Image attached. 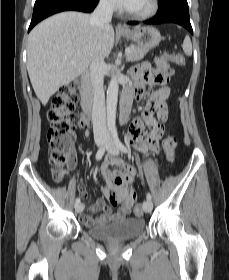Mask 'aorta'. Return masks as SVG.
Masks as SVG:
<instances>
[{"instance_id":"762f6f07","label":"aorta","mask_w":229,"mask_h":280,"mask_svg":"<svg viewBox=\"0 0 229 280\" xmlns=\"http://www.w3.org/2000/svg\"><path fill=\"white\" fill-rule=\"evenodd\" d=\"M119 84L116 77H113L107 89V126L111 131L116 130V109L118 100Z\"/></svg>"}]
</instances>
